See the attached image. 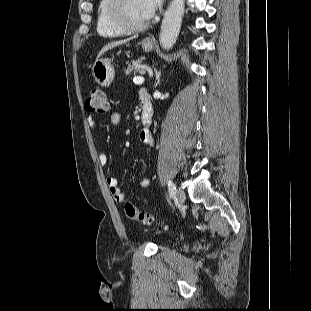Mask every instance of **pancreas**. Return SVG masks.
Masks as SVG:
<instances>
[{"label":"pancreas","instance_id":"pancreas-1","mask_svg":"<svg viewBox=\"0 0 311 311\" xmlns=\"http://www.w3.org/2000/svg\"><path fill=\"white\" fill-rule=\"evenodd\" d=\"M143 70V66L140 64V62H134L132 65H129L125 70L126 75H130L131 73H138Z\"/></svg>","mask_w":311,"mask_h":311}]
</instances>
